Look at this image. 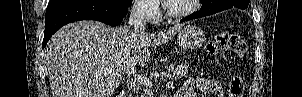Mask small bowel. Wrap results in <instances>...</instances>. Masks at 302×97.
Instances as JSON below:
<instances>
[{
    "label": "small bowel",
    "mask_w": 302,
    "mask_h": 97,
    "mask_svg": "<svg viewBox=\"0 0 302 97\" xmlns=\"http://www.w3.org/2000/svg\"><path fill=\"white\" fill-rule=\"evenodd\" d=\"M195 88L215 97H226L222 85L218 81L206 77L188 79L181 88L178 97H196Z\"/></svg>",
    "instance_id": "small-bowel-1"
}]
</instances>
